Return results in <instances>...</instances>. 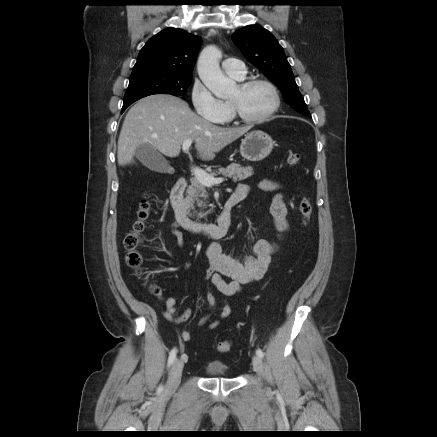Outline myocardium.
<instances>
[{
	"mask_svg": "<svg viewBox=\"0 0 437 437\" xmlns=\"http://www.w3.org/2000/svg\"><path fill=\"white\" fill-rule=\"evenodd\" d=\"M255 85H265L271 90L272 95H273V104L265 114H263L259 117H248L240 111V109L236 105V103L229 100V106L231 109L232 116L234 117V119H236L242 123H246V124L263 123V122L267 121L270 117H272L277 112L278 108L280 107L281 99H280L279 91H278L277 87L271 81H269L267 79H263V78L248 79V80L241 82L239 84V87L243 90H246V89H249Z\"/></svg>",
	"mask_w": 437,
	"mask_h": 437,
	"instance_id": "f54148a6",
	"label": "myocardium"
}]
</instances>
